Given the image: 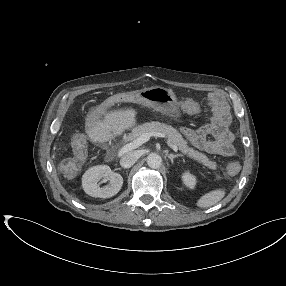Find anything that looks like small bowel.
Returning <instances> with one entry per match:
<instances>
[{
	"label": "small bowel",
	"instance_id": "c3829d8e",
	"mask_svg": "<svg viewBox=\"0 0 286 286\" xmlns=\"http://www.w3.org/2000/svg\"><path fill=\"white\" fill-rule=\"evenodd\" d=\"M213 120L196 130L183 127L181 133L198 149L210 154L230 157L234 154V135L229 130L230 113L224 97L214 93L210 97ZM183 112L195 115L200 112V105L194 100L180 103Z\"/></svg>",
	"mask_w": 286,
	"mask_h": 286
}]
</instances>
